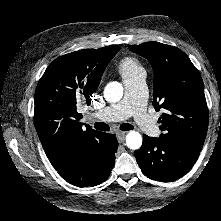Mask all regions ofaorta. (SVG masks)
Segmentation results:
<instances>
[{"label":"aorta","instance_id":"aorta-1","mask_svg":"<svg viewBox=\"0 0 221 221\" xmlns=\"http://www.w3.org/2000/svg\"><path fill=\"white\" fill-rule=\"evenodd\" d=\"M123 96V86L117 81L109 82L104 88V97L110 103H116ZM126 145L132 150H137L142 145V136L139 132L133 130L126 136Z\"/></svg>","mask_w":221,"mask_h":221}]
</instances>
